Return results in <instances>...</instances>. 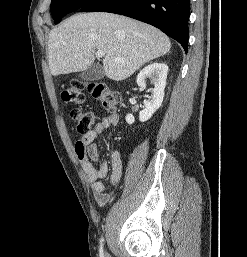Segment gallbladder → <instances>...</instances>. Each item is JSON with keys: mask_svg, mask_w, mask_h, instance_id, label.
<instances>
[{"mask_svg": "<svg viewBox=\"0 0 247 257\" xmlns=\"http://www.w3.org/2000/svg\"><path fill=\"white\" fill-rule=\"evenodd\" d=\"M105 76L104 69L99 63H94L90 65L86 70H84L79 77L82 81H97Z\"/></svg>", "mask_w": 247, "mask_h": 257, "instance_id": "bac80fb5", "label": "gallbladder"}]
</instances>
